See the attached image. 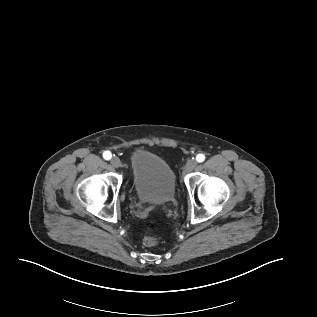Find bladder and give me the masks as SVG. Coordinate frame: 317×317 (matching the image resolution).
Listing matches in <instances>:
<instances>
[{"mask_svg": "<svg viewBox=\"0 0 317 317\" xmlns=\"http://www.w3.org/2000/svg\"><path fill=\"white\" fill-rule=\"evenodd\" d=\"M131 172L133 186L141 202L160 206L174 199L175 173L160 156L148 151H136L131 156Z\"/></svg>", "mask_w": 317, "mask_h": 317, "instance_id": "obj_1", "label": "bladder"}]
</instances>
